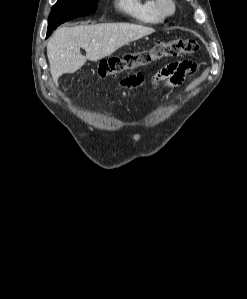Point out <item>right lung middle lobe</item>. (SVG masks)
<instances>
[{"label":"right lung middle lobe","instance_id":"obj_1","mask_svg":"<svg viewBox=\"0 0 247 299\" xmlns=\"http://www.w3.org/2000/svg\"><path fill=\"white\" fill-rule=\"evenodd\" d=\"M98 0H58L52 7L48 19L47 37L60 24L96 11Z\"/></svg>","mask_w":247,"mask_h":299}]
</instances>
